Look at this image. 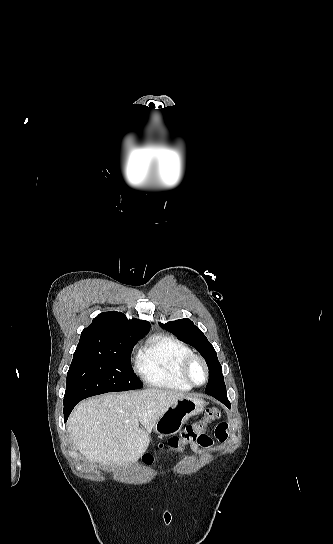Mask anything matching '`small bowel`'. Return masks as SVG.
<instances>
[{
  "instance_id": "small-bowel-1",
  "label": "small bowel",
  "mask_w": 333,
  "mask_h": 544,
  "mask_svg": "<svg viewBox=\"0 0 333 544\" xmlns=\"http://www.w3.org/2000/svg\"><path fill=\"white\" fill-rule=\"evenodd\" d=\"M216 438L220 442H224L228 438V424L226 422L219 423L215 430H214ZM212 439L208 437L207 435L201 436L196 442L191 443V447L193 450H197L199 447L201 448H208L212 445Z\"/></svg>"
}]
</instances>
